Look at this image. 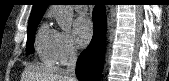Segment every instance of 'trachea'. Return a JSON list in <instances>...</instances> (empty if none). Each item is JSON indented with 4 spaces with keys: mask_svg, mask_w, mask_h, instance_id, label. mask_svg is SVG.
<instances>
[{
    "mask_svg": "<svg viewBox=\"0 0 169 81\" xmlns=\"http://www.w3.org/2000/svg\"><path fill=\"white\" fill-rule=\"evenodd\" d=\"M83 4H81V5H87V3H89V2H82Z\"/></svg>",
    "mask_w": 169,
    "mask_h": 81,
    "instance_id": "trachea-1",
    "label": "trachea"
}]
</instances>
